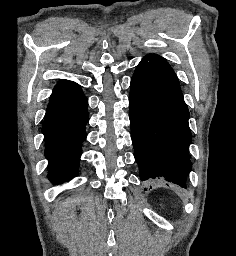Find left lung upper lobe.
I'll use <instances>...</instances> for the list:
<instances>
[{
  "label": "left lung upper lobe",
  "mask_w": 236,
  "mask_h": 256,
  "mask_svg": "<svg viewBox=\"0 0 236 256\" xmlns=\"http://www.w3.org/2000/svg\"><path fill=\"white\" fill-rule=\"evenodd\" d=\"M138 68L148 71L162 80L174 85L175 87L180 88L175 72L164 58H161L155 54L146 55L139 63Z\"/></svg>",
  "instance_id": "obj_1"
}]
</instances>
